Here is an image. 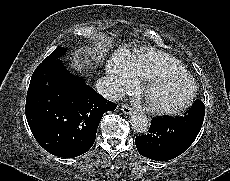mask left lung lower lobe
<instances>
[{
	"label": "left lung lower lobe",
	"instance_id": "obj_1",
	"mask_svg": "<svg viewBox=\"0 0 230 181\" xmlns=\"http://www.w3.org/2000/svg\"><path fill=\"white\" fill-rule=\"evenodd\" d=\"M205 105L196 100L185 116L153 118L147 135L138 136V152L156 161L181 155L196 139L204 120Z\"/></svg>",
	"mask_w": 230,
	"mask_h": 181
}]
</instances>
